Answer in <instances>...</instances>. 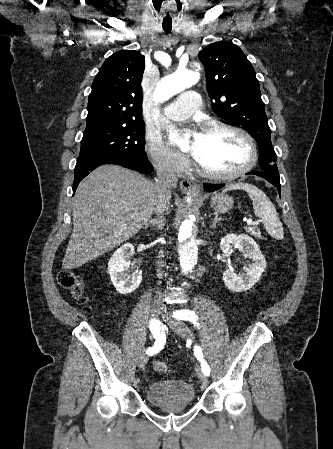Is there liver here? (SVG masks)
<instances>
[{
  "instance_id": "obj_1",
  "label": "liver",
  "mask_w": 333,
  "mask_h": 449,
  "mask_svg": "<svg viewBox=\"0 0 333 449\" xmlns=\"http://www.w3.org/2000/svg\"><path fill=\"white\" fill-rule=\"evenodd\" d=\"M156 202L155 184L135 171L96 168L73 197L74 228L63 266H81L127 241L151 218Z\"/></svg>"
}]
</instances>
